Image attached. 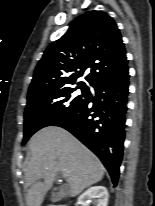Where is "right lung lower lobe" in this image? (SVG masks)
Instances as JSON below:
<instances>
[{"mask_svg":"<svg viewBox=\"0 0 155 206\" xmlns=\"http://www.w3.org/2000/svg\"><path fill=\"white\" fill-rule=\"evenodd\" d=\"M128 87L129 70L126 67L97 85L95 97L53 125L68 130L94 152L115 186L123 156Z\"/></svg>","mask_w":155,"mask_h":206,"instance_id":"98d812e1","label":"right lung lower lobe"}]
</instances>
